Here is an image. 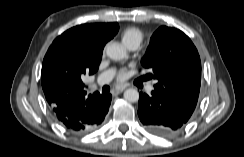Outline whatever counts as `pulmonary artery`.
<instances>
[{
  "label": "pulmonary artery",
  "instance_id": "e3ab8cb5",
  "mask_svg": "<svg viewBox=\"0 0 244 157\" xmlns=\"http://www.w3.org/2000/svg\"><path fill=\"white\" fill-rule=\"evenodd\" d=\"M127 48L129 50H131V51H134V50H136L138 48V45L131 44ZM113 75H114V71L112 69L103 72L98 77L97 84L103 85L105 83H108L113 78ZM146 89H147L148 92H151L153 90V86L152 85H148Z\"/></svg>",
  "mask_w": 244,
  "mask_h": 157
}]
</instances>
